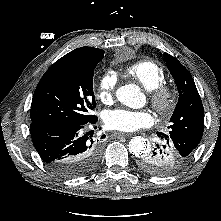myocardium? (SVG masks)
Masks as SVG:
<instances>
[{
	"instance_id": "obj_1",
	"label": "myocardium",
	"mask_w": 221,
	"mask_h": 221,
	"mask_svg": "<svg viewBox=\"0 0 221 221\" xmlns=\"http://www.w3.org/2000/svg\"><path fill=\"white\" fill-rule=\"evenodd\" d=\"M177 93L171 85L162 83L150 91V101L160 115L169 114L175 107Z\"/></svg>"
}]
</instances>
